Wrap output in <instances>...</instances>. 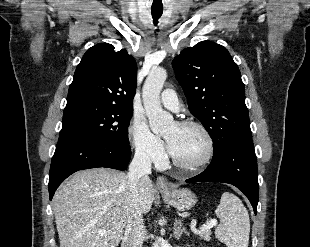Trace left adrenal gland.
I'll list each match as a JSON object with an SVG mask.
<instances>
[{"mask_svg":"<svg viewBox=\"0 0 310 247\" xmlns=\"http://www.w3.org/2000/svg\"><path fill=\"white\" fill-rule=\"evenodd\" d=\"M182 221L181 220H176V222L174 223V231H173V235L174 237L179 240V238L185 234L187 236H189V233L187 232L186 228L182 227Z\"/></svg>","mask_w":310,"mask_h":247,"instance_id":"left-adrenal-gland-1","label":"left adrenal gland"}]
</instances>
